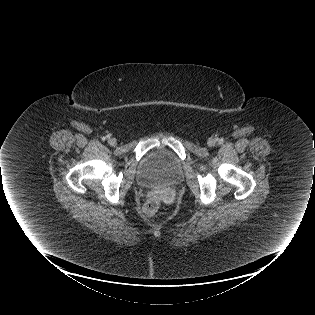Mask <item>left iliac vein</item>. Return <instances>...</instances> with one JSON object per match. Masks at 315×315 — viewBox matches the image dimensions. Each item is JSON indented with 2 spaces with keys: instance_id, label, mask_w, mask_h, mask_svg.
Wrapping results in <instances>:
<instances>
[{
  "instance_id": "1",
  "label": "left iliac vein",
  "mask_w": 315,
  "mask_h": 315,
  "mask_svg": "<svg viewBox=\"0 0 315 315\" xmlns=\"http://www.w3.org/2000/svg\"><path fill=\"white\" fill-rule=\"evenodd\" d=\"M215 143H216V141L214 139H210L208 141V145H210V146L214 145Z\"/></svg>"
}]
</instances>
